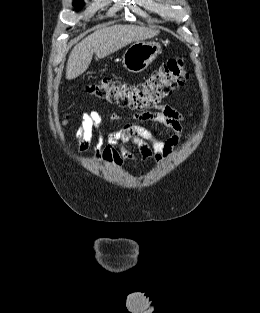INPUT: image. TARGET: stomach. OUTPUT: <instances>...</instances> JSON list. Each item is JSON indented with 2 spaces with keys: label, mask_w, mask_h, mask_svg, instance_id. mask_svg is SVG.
I'll return each mask as SVG.
<instances>
[{
  "label": "stomach",
  "mask_w": 260,
  "mask_h": 313,
  "mask_svg": "<svg viewBox=\"0 0 260 313\" xmlns=\"http://www.w3.org/2000/svg\"><path fill=\"white\" fill-rule=\"evenodd\" d=\"M162 53L157 41H136L123 54V67L131 73H140Z\"/></svg>",
  "instance_id": "1"
}]
</instances>
